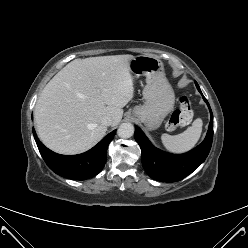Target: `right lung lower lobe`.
<instances>
[{"mask_svg":"<svg viewBox=\"0 0 248 248\" xmlns=\"http://www.w3.org/2000/svg\"><path fill=\"white\" fill-rule=\"evenodd\" d=\"M116 130L105 136L96 146L78 155H60L46 148L33 135L37 147L46 164L56 174L74 180H85L97 175L104 167L107 159V147L113 140Z\"/></svg>","mask_w":248,"mask_h":248,"instance_id":"98d812e1","label":"right lung lower lobe"}]
</instances>
